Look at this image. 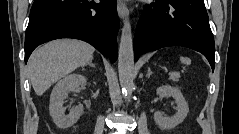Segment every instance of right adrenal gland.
<instances>
[{"label":"right adrenal gland","mask_w":239,"mask_h":134,"mask_svg":"<svg viewBox=\"0 0 239 134\" xmlns=\"http://www.w3.org/2000/svg\"><path fill=\"white\" fill-rule=\"evenodd\" d=\"M88 65L91 66V67H95V65L92 63V61H90V62L88 63Z\"/></svg>","instance_id":"2a0ac1e0"}]
</instances>
